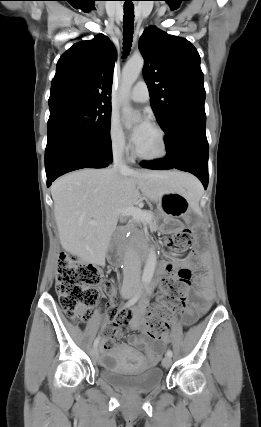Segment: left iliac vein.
Here are the masks:
<instances>
[{
  "instance_id": "obj_1",
  "label": "left iliac vein",
  "mask_w": 261,
  "mask_h": 427,
  "mask_svg": "<svg viewBox=\"0 0 261 427\" xmlns=\"http://www.w3.org/2000/svg\"><path fill=\"white\" fill-rule=\"evenodd\" d=\"M141 292V294H142V296L144 295V293L142 292V291H140ZM171 364H172V359H171V357H169V356H165L164 358H163V360H162V365H163V367H165V368H169L170 366H171Z\"/></svg>"
}]
</instances>
